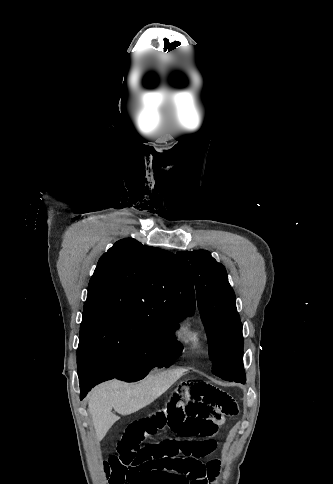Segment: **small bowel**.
<instances>
[{
  "label": "small bowel",
  "instance_id": "1",
  "mask_svg": "<svg viewBox=\"0 0 333 484\" xmlns=\"http://www.w3.org/2000/svg\"><path fill=\"white\" fill-rule=\"evenodd\" d=\"M237 413L235 400L205 382H183L167 403L130 423L117 454L104 463L110 484H209L220 470L217 459L202 458L217 447L213 436L227 416ZM173 435L142 445L161 431Z\"/></svg>",
  "mask_w": 333,
  "mask_h": 484
}]
</instances>
